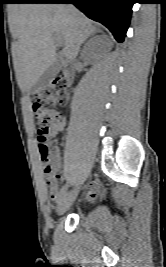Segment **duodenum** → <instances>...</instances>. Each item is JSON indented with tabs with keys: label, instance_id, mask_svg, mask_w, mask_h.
<instances>
[{
	"label": "duodenum",
	"instance_id": "obj_1",
	"mask_svg": "<svg viewBox=\"0 0 166 267\" xmlns=\"http://www.w3.org/2000/svg\"><path fill=\"white\" fill-rule=\"evenodd\" d=\"M62 76L67 83H71L74 79V68L72 66H65L62 70Z\"/></svg>",
	"mask_w": 166,
	"mask_h": 267
}]
</instances>
